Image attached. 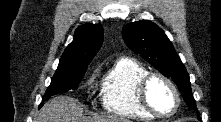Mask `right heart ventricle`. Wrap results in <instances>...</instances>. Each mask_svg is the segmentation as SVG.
I'll return each mask as SVG.
<instances>
[{"instance_id": "right-heart-ventricle-1", "label": "right heart ventricle", "mask_w": 221, "mask_h": 122, "mask_svg": "<svg viewBox=\"0 0 221 122\" xmlns=\"http://www.w3.org/2000/svg\"><path fill=\"white\" fill-rule=\"evenodd\" d=\"M148 73L139 62L119 59L105 74L102 82V103L111 114L132 119H152L139 103L137 84Z\"/></svg>"}]
</instances>
